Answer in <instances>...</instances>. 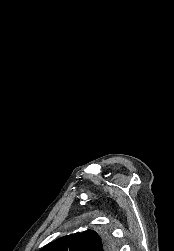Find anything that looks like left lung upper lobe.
Masks as SVG:
<instances>
[{"mask_svg": "<svg viewBox=\"0 0 174 251\" xmlns=\"http://www.w3.org/2000/svg\"><path fill=\"white\" fill-rule=\"evenodd\" d=\"M114 246L108 234L87 230L60 237L40 251H112Z\"/></svg>", "mask_w": 174, "mask_h": 251, "instance_id": "1", "label": "left lung upper lobe"}]
</instances>
